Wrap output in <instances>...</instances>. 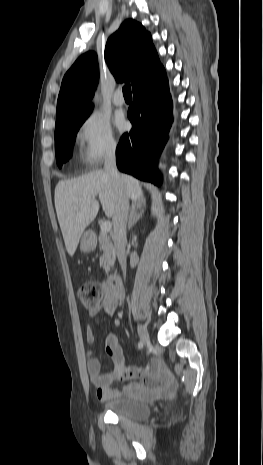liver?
<instances>
[{"instance_id":"1","label":"liver","mask_w":263,"mask_h":465,"mask_svg":"<svg viewBox=\"0 0 263 465\" xmlns=\"http://www.w3.org/2000/svg\"><path fill=\"white\" fill-rule=\"evenodd\" d=\"M123 187L133 202H144L140 183L134 177L121 174ZM99 196L103 211L113 217L117 189L104 171H94L70 180H61L55 187V208L66 250L73 256L86 227L99 211Z\"/></svg>"}]
</instances>
